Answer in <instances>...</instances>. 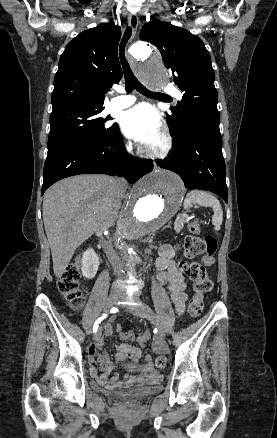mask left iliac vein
<instances>
[{"label": "left iliac vein", "mask_w": 277, "mask_h": 438, "mask_svg": "<svg viewBox=\"0 0 277 438\" xmlns=\"http://www.w3.org/2000/svg\"><path fill=\"white\" fill-rule=\"evenodd\" d=\"M128 311L130 313H132L133 315L148 318L150 321L155 323L157 325V328H158L159 338L161 340L165 339V336H166L165 329H164L163 325L159 322L157 315L154 313V311L148 305L140 303L138 308H136L134 310L128 309Z\"/></svg>", "instance_id": "left-iliac-vein-1"}]
</instances>
